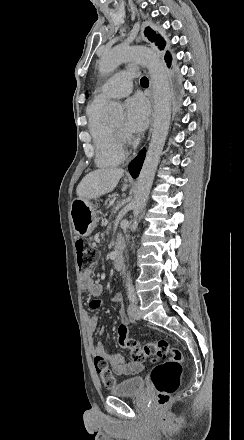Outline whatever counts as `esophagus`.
<instances>
[{"instance_id":"obj_1","label":"esophagus","mask_w":244,"mask_h":440,"mask_svg":"<svg viewBox=\"0 0 244 440\" xmlns=\"http://www.w3.org/2000/svg\"><path fill=\"white\" fill-rule=\"evenodd\" d=\"M140 40H141V37L138 36L137 37V42H140ZM149 111H150V127H149V132H148V139L151 136L152 128H153V115H154V100H153V96L150 97V108H149Z\"/></svg>"}]
</instances>
